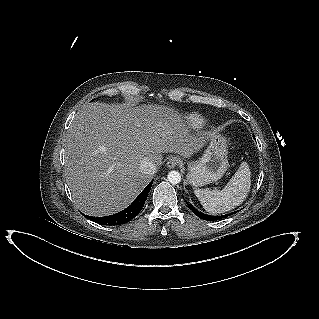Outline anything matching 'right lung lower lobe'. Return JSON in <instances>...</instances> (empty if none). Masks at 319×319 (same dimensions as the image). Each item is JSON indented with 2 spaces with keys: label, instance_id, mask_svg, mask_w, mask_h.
Masks as SVG:
<instances>
[{
  "label": "right lung lower lobe",
  "instance_id": "98d812e1",
  "mask_svg": "<svg viewBox=\"0 0 319 319\" xmlns=\"http://www.w3.org/2000/svg\"><path fill=\"white\" fill-rule=\"evenodd\" d=\"M153 180L146 186V188L140 193V195L133 201V203L124 209L123 211L110 215L105 217H90L87 216V218L92 219L93 221L102 224V225H120L124 224L126 222H129L131 219H133L142 209L146 198L148 196V193L150 191V188L152 186Z\"/></svg>",
  "mask_w": 319,
  "mask_h": 319
}]
</instances>
